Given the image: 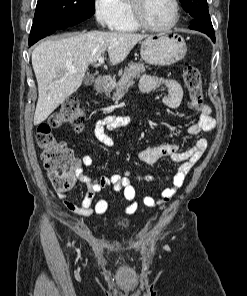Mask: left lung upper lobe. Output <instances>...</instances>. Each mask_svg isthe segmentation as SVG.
I'll return each mask as SVG.
<instances>
[{
	"label": "left lung upper lobe",
	"instance_id": "obj_1",
	"mask_svg": "<svg viewBox=\"0 0 247 296\" xmlns=\"http://www.w3.org/2000/svg\"><path fill=\"white\" fill-rule=\"evenodd\" d=\"M183 8L191 16L196 17L203 13H208L206 0H180Z\"/></svg>",
	"mask_w": 247,
	"mask_h": 296
}]
</instances>
